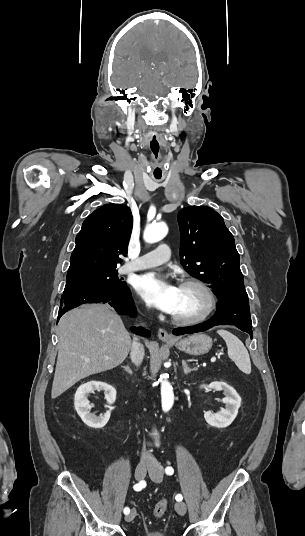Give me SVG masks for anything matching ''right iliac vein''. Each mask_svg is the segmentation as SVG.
<instances>
[{"mask_svg": "<svg viewBox=\"0 0 305 536\" xmlns=\"http://www.w3.org/2000/svg\"><path fill=\"white\" fill-rule=\"evenodd\" d=\"M149 469L150 468H148V466H145V465H142V464L137 465V467L135 469V477H136V479L138 481L144 479V477L146 475V472ZM135 516H136V511H135V509H132L131 512L125 517V520L127 522H130L135 518Z\"/></svg>", "mask_w": 305, "mask_h": 536, "instance_id": "1", "label": "right iliac vein"}]
</instances>
